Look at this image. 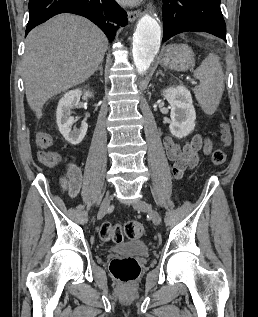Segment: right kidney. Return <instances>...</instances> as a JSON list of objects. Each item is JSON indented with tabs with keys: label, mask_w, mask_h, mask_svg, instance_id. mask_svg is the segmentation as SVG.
Returning <instances> with one entry per match:
<instances>
[{
	"label": "right kidney",
	"mask_w": 258,
	"mask_h": 317,
	"mask_svg": "<svg viewBox=\"0 0 258 317\" xmlns=\"http://www.w3.org/2000/svg\"><path fill=\"white\" fill-rule=\"evenodd\" d=\"M81 94H84V96H93V92H90V90H84V92H82L80 88L69 90V92H65L62 98H60L56 110V122L59 126V130L64 138H66L68 142H71V144H79V142L83 140L88 128L86 118H84L80 128H73L72 130L74 116H71V108L77 106Z\"/></svg>",
	"instance_id": "obj_1"
}]
</instances>
